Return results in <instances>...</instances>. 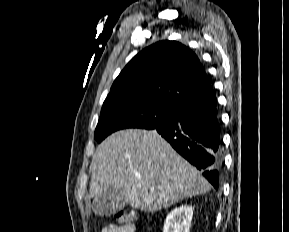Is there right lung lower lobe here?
Listing matches in <instances>:
<instances>
[{"label": "right lung lower lobe", "mask_w": 289, "mask_h": 232, "mask_svg": "<svg viewBox=\"0 0 289 232\" xmlns=\"http://www.w3.org/2000/svg\"><path fill=\"white\" fill-rule=\"evenodd\" d=\"M154 129L218 189L223 157L216 98L180 108L176 118Z\"/></svg>", "instance_id": "98d812e1"}]
</instances>
